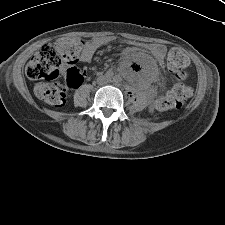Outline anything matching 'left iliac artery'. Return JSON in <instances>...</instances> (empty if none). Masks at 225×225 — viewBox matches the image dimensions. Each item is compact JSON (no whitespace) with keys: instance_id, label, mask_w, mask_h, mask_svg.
<instances>
[{"instance_id":"left-iliac-artery-1","label":"left iliac artery","mask_w":225,"mask_h":225,"mask_svg":"<svg viewBox=\"0 0 225 225\" xmlns=\"http://www.w3.org/2000/svg\"><path fill=\"white\" fill-rule=\"evenodd\" d=\"M115 80H117V81H118V80H119V78L116 76V77H115Z\"/></svg>"}]
</instances>
